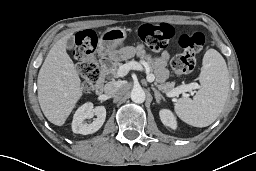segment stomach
Returning <instances> with one entry per match:
<instances>
[{
	"label": "stomach",
	"instance_id": "0dacf381",
	"mask_svg": "<svg viewBox=\"0 0 256 171\" xmlns=\"http://www.w3.org/2000/svg\"><path fill=\"white\" fill-rule=\"evenodd\" d=\"M127 37L125 28L113 27L104 31L101 35L98 45V53L101 56H109L112 59L122 58L117 48Z\"/></svg>",
	"mask_w": 256,
	"mask_h": 171
}]
</instances>
